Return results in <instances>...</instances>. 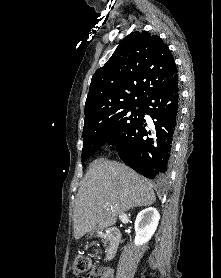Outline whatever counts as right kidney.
Wrapping results in <instances>:
<instances>
[{
    "label": "right kidney",
    "instance_id": "right-kidney-1",
    "mask_svg": "<svg viewBox=\"0 0 221 278\" xmlns=\"http://www.w3.org/2000/svg\"><path fill=\"white\" fill-rule=\"evenodd\" d=\"M160 219V214L153 207L142 210L135 221V245L141 246L147 243L157 229Z\"/></svg>",
    "mask_w": 221,
    "mask_h": 278
}]
</instances>
